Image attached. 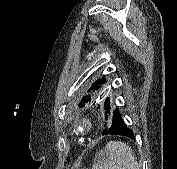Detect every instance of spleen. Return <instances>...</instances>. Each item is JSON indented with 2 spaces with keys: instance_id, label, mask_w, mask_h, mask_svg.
Instances as JSON below:
<instances>
[{
  "instance_id": "1",
  "label": "spleen",
  "mask_w": 177,
  "mask_h": 169,
  "mask_svg": "<svg viewBox=\"0 0 177 169\" xmlns=\"http://www.w3.org/2000/svg\"><path fill=\"white\" fill-rule=\"evenodd\" d=\"M92 169H139L133 150L124 142L110 141L97 153Z\"/></svg>"
}]
</instances>
